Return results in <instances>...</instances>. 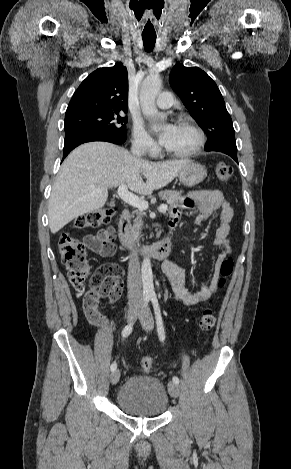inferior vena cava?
<instances>
[{"label":"inferior vena cava","mask_w":291,"mask_h":469,"mask_svg":"<svg viewBox=\"0 0 291 469\" xmlns=\"http://www.w3.org/2000/svg\"><path fill=\"white\" fill-rule=\"evenodd\" d=\"M131 152L134 156L140 158L144 153V148L140 142L135 141L131 147ZM127 288H128L129 306L142 307L144 305V300H143L142 289H141L140 264H139L138 253L136 250H133L130 253L128 277H127Z\"/></svg>","instance_id":"1"}]
</instances>
